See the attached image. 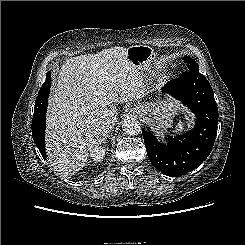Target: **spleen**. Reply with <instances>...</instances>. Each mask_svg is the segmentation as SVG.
<instances>
[{
    "mask_svg": "<svg viewBox=\"0 0 245 245\" xmlns=\"http://www.w3.org/2000/svg\"><path fill=\"white\" fill-rule=\"evenodd\" d=\"M187 126H188V122L186 120L179 121V123L175 127L174 132L175 133H181V132H183V131H185L187 129Z\"/></svg>",
    "mask_w": 245,
    "mask_h": 245,
    "instance_id": "1",
    "label": "spleen"
}]
</instances>
